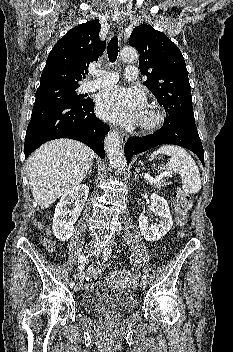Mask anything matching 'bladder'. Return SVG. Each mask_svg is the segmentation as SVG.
I'll use <instances>...</instances> for the list:
<instances>
[{
  "instance_id": "obj_1",
  "label": "bladder",
  "mask_w": 233,
  "mask_h": 352,
  "mask_svg": "<svg viewBox=\"0 0 233 352\" xmlns=\"http://www.w3.org/2000/svg\"><path fill=\"white\" fill-rule=\"evenodd\" d=\"M136 304L137 296L134 291L106 281L92 284L82 297V305L86 311L113 316L127 313Z\"/></svg>"
}]
</instances>
